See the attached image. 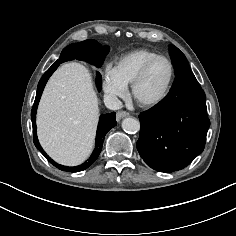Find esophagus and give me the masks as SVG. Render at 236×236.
Segmentation results:
<instances>
[{"instance_id": "obj_1", "label": "esophagus", "mask_w": 236, "mask_h": 236, "mask_svg": "<svg viewBox=\"0 0 236 236\" xmlns=\"http://www.w3.org/2000/svg\"><path fill=\"white\" fill-rule=\"evenodd\" d=\"M130 114L126 111H118L116 114V120L119 122L122 118L129 116Z\"/></svg>"}]
</instances>
